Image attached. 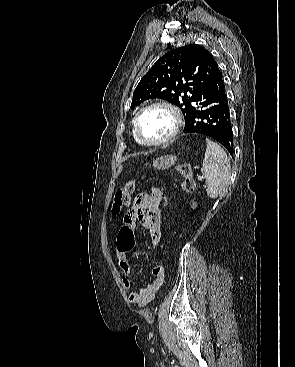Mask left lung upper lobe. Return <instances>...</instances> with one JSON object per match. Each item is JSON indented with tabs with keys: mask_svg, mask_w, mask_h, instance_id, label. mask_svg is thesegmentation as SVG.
<instances>
[{
	"mask_svg": "<svg viewBox=\"0 0 295 367\" xmlns=\"http://www.w3.org/2000/svg\"><path fill=\"white\" fill-rule=\"evenodd\" d=\"M217 67L209 51L197 44L186 45L163 55L137 85L131 107L160 98L187 115L192 103Z\"/></svg>",
	"mask_w": 295,
	"mask_h": 367,
	"instance_id": "5c2ea615",
	"label": "left lung upper lobe"
}]
</instances>
